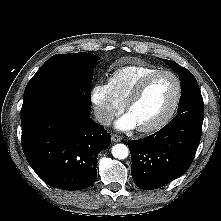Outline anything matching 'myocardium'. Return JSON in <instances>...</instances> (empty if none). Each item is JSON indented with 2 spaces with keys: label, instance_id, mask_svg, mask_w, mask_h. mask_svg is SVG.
Returning a JSON list of instances; mask_svg holds the SVG:
<instances>
[{
  "label": "myocardium",
  "instance_id": "obj_1",
  "mask_svg": "<svg viewBox=\"0 0 221 221\" xmlns=\"http://www.w3.org/2000/svg\"><path fill=\"white\" fill-rule=\"evenodd\" d=\"M160 75H169L171 76L176 84V93L174 100L168 109V111L156 122L147 125V126H139L138 130L143 133H150L157 131L161 128H163L168 122L173 118L174 114L176 113L181 96H182V83L180 78L172 71L169 70H162L159 69L157 71H154L146 76H144L135 86L131 94L128 96L124 103V109L128 112L130 107L139 99V97L142 95L143 91L145 90L147 84L154 79L157 76Z\"/></svg>",
  "mask_w": 221,
  "mask_h": 221
}]
</instances>
